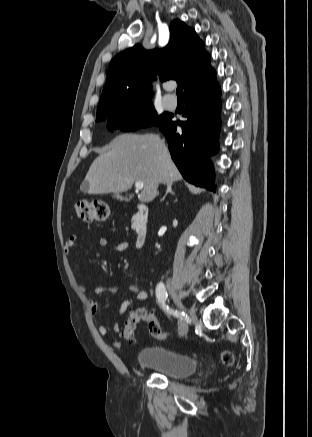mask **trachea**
<instances>
[{"label":"trachea","instance_id":"1","mask_svg":"<svg viewBox=\"0 0 312 437\" xmlns=\"http://www.w3.org/2000/svg\"><path fill=\"white\" fill-rule=\"evenodd\" d=\"M176 94L178 97H182L183 96V88L182 86H178L176 89Z\"/></svg>","mask_w":312,"mask_h":437}]
</instances>
